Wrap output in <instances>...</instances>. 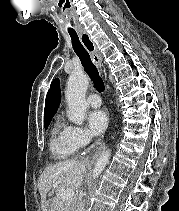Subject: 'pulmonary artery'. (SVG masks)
<instances>
[{
    "mask_svg": "<svg viewBox=\"0 0 179 211\" xmlns=\"http://www.w3.org/2000/svg\"><path fill=\"white\" fill-rule=\"evenodd\" d=\"M87 104L92 108L100 107L101 99L98 94L93 93L87 97Z\"/></svg>",
    "mask_w": 179,
    "mask_h": 211,
    "instance_id": "pulmonary-artery-1",
    "label": "pulmonary artery"
}]
</instances>
